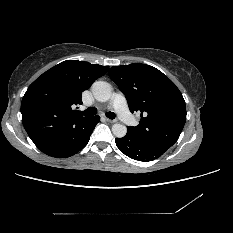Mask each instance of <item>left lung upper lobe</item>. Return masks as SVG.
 <instances>
[{
  "label": "left lung upper lobe",
  "instance_id": "left-lung-upper-lobe-1",
  "mask_svg": "<svg viewBox=\"0 0 233 233\" xmlns=\"http://www.w3.org/2000/svg\"><path fill=\"white\" fill-rule=\"evenodd\" d=\"M108 74L125 95L130 111L141 113L139 125L127 127V133L163 150L174 145L186 121L185 101L176 85L146 64L113 66Z\"/></svg>",
  "mask_w": 233,
  "mask_h": 233
}]
</instances>
